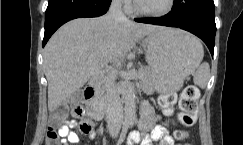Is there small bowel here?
<instances>
[{
	"label": "small bowel",
	"instance_id": "1",
	"mask_svg": "<svg viewBox=\"0 0 243 145\" xmlns=\"http://www.w3.org/2000/svg\"><path fill=\"white\" fill-rule=\"evenodd\" d=\"M159 119L160 117L155 114L151 106L147 104L143 105L138 122L139 131L132 132L129 136L131 145H152V142L156 141H160V145H174V140L169 135L167 129L158 124ZM77 125V121L67 120L58 129L62 145H70L79 141V135L72 130L77 127ZM88 134L90 138L96 136L95 132L92 130L88 132Z\"/></svg>",
	"mask_w": 243,
	"mask_h": 145
}]
</instances>
